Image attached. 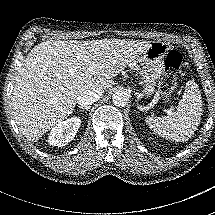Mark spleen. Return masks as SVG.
<instances>
[{
    "mask_svg": "<svg viewBox=\"0 0 215 215\" xmlns=\"http://www.w3.org/2000/svg\"><path fill=\"white\" fill-rule=\"evenodd\" d=\"M202 100L197 85L189 81L176 112L148 117L146 123L156 134L176 142L187 141L201 120Z\"/></svg>",
    "mask_w": 215,
    "mask_h": 215,
    "instance_id": "1",
    "label": "spleen"
}]
</instances>
